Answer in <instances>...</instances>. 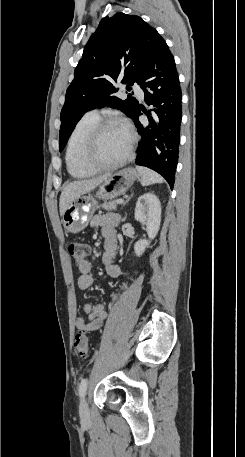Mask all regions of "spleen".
<instances>
[{
	"label": "spleen",
	"instance_id": "1",
	"mask_svg": "<svg viewBox=\"0 0 245 457\" xmlns=\"http://www.w3.org/2000/svg\"><path fill=\"white\" fill-rule=\"evenodd\" d=\"M140 176L142 186H148V184H154V182H163L162 176L150 168H145V166H136Z\"/></svg>",
	"mask_w": 245,
	"mask_h": 457
}]
</instances>
